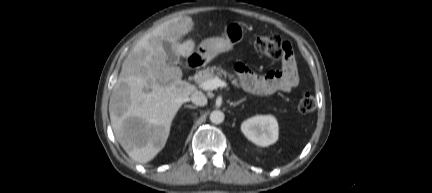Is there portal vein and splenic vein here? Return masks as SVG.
Returning <instances> with one entry per match:
<instances>
[{
	"mask_svg": "<svg viewBox=\"0 0 432 193\" xmlns=\"http://www.w3.org/2000/svg\"><path fill=\"white\" fill-rule=\"evenodd\" d=\"M200 85L204 90H214L217 89L218 87H226L227 83L221 80L219 77H215L213 79L204 81Z\"/></svg>",
	"mask_w": 432,
	"mask_h": 193,
	"instance_id": "1",
	"label": "portal vein and splenic vein"
}]
</instances>
